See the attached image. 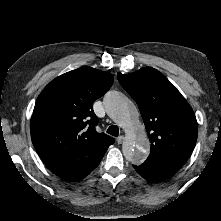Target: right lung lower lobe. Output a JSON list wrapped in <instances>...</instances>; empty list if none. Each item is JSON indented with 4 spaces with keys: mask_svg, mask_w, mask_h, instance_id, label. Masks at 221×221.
<instances>
[{
    "mask_svg": "<svg viewBox=\"0 0 221 221\" xmlns=\"http://www.w3.org/2000/svg\"><path fill=\"white\" fill-rule=\"evenodd\" d=\"M109 146L105 142L90 144L51 159L45 165L66 181H80L98 166Z\"/></svg>",
    "mask_w": 221,
    "mask_h": 221,
    "instance_id": "obj_1",
    "label": "right lung lower lobe"
}]
</instances>
